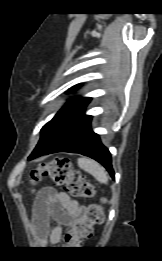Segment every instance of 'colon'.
Masks as SVG:
<instances>
[{
	"instance_id": "1",
	"label": "colon",
	"mask_w": 162,
	"mask_h": 261,
	"mask_svg": "<svg viewBox=\"0 0 162 261\" xmlns=\"http://www.w3.org/2000/svg\"><path fill=\"white\" fill-rule=\"evenodd\" d=\"M43 176H49L54 184L62 186L66 192L76 198H89L95 195V186L83 173L73 168L68 158L57 157L38 165L31 172V182L36 184ZM103 220L102 207L99 204L88 205L75 223L71 236L73 243L82 246L85 240L92 237L93 226L102 223Z\"/></svg>"
}]
</instances>
